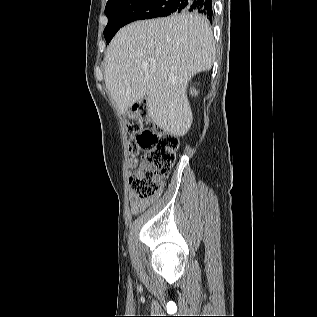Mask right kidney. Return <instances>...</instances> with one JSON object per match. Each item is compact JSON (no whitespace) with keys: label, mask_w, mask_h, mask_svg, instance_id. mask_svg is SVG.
<instances>
[{"label":"right kidney","mask_w":317,"mask_h":317,"mask_svg":"<svg viewBox=\"0 0 317 317\" xmlns=\"http://www.w3.org/2000/svg\"><path fill=\"white\" fill-rule=\"evenodd\" d=\"M193 92L195 93V95H197V92H196V90H191V94H193Z\"/></svg>","instance_id":"ca27d5eb"}]
</instances>
